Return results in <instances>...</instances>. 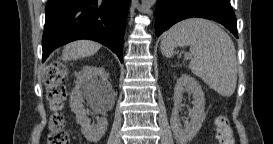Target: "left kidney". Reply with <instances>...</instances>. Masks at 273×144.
I'll use <instances>...</instances> for the list:
<instances>
[{"label":"left kidney","mask_w":273,"mask_h":144,"mask_svg":"<svg viewBox=\"0 0 273 144\" xmlns=\"http://www.w3.org/2000/svg\"><path fill=\"white\" fill-rule=\"evenodd\" d=\"M184 91H191L194 95L193 108L189 111L190 121L184 123L182 128L179 120L180 104L183 100ZM174 108L170 119V124L174 137L180 144H186L192 140L200 130L206 117L205 98L199 83L190 75L183 74L177 80L174 88Z\"/></svg>","instance_id":"left-kidney-1"}]
</instances>
